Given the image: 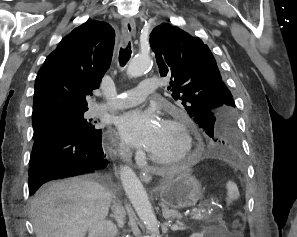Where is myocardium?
Returning a JSON list of instances; mask_svg holds the SVG:
<instances>
[{
  "label": "myocardium",
  "mask_w": 297,
  "mask_h": 237,
  "mask_svg": "<svg viewBox=\"0 0 297 237\" xmlns=\"http://www.w3.org/2000/svg\"><path fill=\"white\" fill-rule=\"evenodd\" d=\"M164 123L175 128L181 135L183 146L179 154L170 158H160L148 152L149 159L159 165H172L186 160L193 151L194 141L190 131L189 122L184 115L176 114L164 120Z\"/></svg>",
  "instance_id": "f54148a6"
}]
</instances>
